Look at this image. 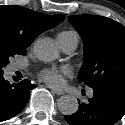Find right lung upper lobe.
Here are the masks:
<instances>
[{
    "mask_svg": "<svg viewBox=\"0 0 125 125\" xmlns=\"http://www.w3.org/2000/svg\"><path fill=\"white\" fill-rule=\"evenodd\" d=\"M65 17L45 15L21 6H0V48L25 50L39 34L57 26Z\"/></svg>",
    "mask_w": 125,
    "mask_h": 125,
    "instance_id": "cb5924a9",
    "label": "right lung upper lobe"
}]
</instances>
